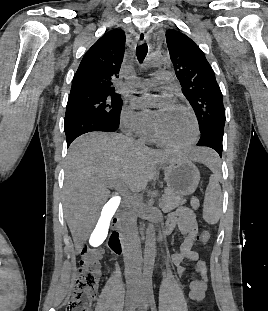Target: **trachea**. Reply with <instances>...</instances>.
Returning <instances> with one entry per match:
<instances>
[{"label":"trachea","instance_id":"trachea-1","mask_svg":"<svg viewBox=\"0 0 268 311\" xmlns=\"http://www.w3.org/2000/svg\"><path fill=\"white\" fill-rule=\"evenodd\" d=\"M148 46L146 43H143L136 48L137 59L140 63H142L147 55Z\"/></svg>","mask_w":268,"mask_h":311}]
</instances>
